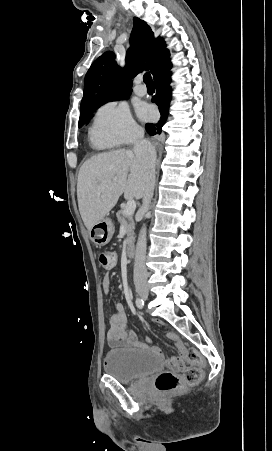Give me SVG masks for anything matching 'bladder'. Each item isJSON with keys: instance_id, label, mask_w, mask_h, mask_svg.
Segmentation results:
<instances>
[{"instance_id": "1", "label": "bladder", "mask_w": 272, "mask_h": 451, "mask_svg": "<svg viewBox=\"0 0 272 451\" xmlns=\"http://www.w3.org/2000/svg\"><path fill=\"white\" fill-rule=\"evenodd\" d=\"M106 375L120 383H132L147 378L162 368V360L155 354L132 349H112L105 356Z\"/></svg>"}]
</instances>
